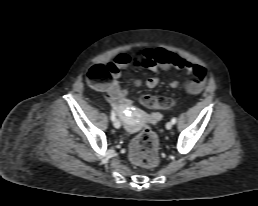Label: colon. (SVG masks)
Returning <instances> with one entry per match:
<instances>
[{
    "instance_id": "5ec220e1",
    "label": "colon",
    "mask_w": 258,
    "mask_h": 206,
    "mask_svg": "<svg viewBox=\"0 0 258 206\" xmlns=\"http://www.w3.org/2000/svg\"><path fill=\"white\" fill-rule=\"evenodd\" d=\"M88 80L94 85H103L110 80L108 67L94 65L87 72ZM142 104L148 108L168 109L172 101L164 97L145 96ZM159 140L157 135L149 128L142 130L131 142L130 159L141 167H153L158 163Z\"/></svg>"
}]
</instances>
